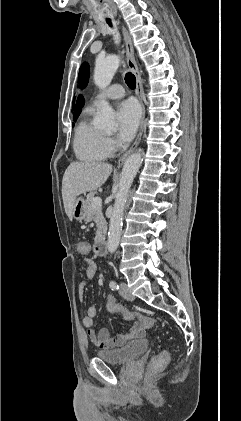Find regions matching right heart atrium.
I'll list each match as a JSON object with an SVG mask.
<instances>
[{"label":"right heart atrium","instance_id":"1","mask_svg":"<svg viewBox=\"0 0 241 421\" xmlns=\"http://www.w3.org/2000/svg\"><path fill=\"white\" fill-rule=\"evenodd\" d=\"M107 144H108V147L111 151L114 150L115 147H116L115 141L110 137H107Z\"/></svg>","mask_w":241,"mask_h":421}]
</instances>
